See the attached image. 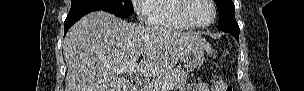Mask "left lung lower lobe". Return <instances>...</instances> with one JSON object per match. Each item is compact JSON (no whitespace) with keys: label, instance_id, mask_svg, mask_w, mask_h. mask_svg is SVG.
<instances>
[{"label":"left lung lower lobe","instance_id":"0a47b994","mask_svg":"<svg viewBox=\"0 0 304 91\" xmlns=\"http://www.w3.org/2000/svg\"><path fill=\"white\" fill-rule=\"evenodd\" d=\"M228 33H230L232 36H234L236 38V40L239 42V31L235 32V31H227Z\"/></svg>","mask_w":304,"mask_h":91}]
</instances>
